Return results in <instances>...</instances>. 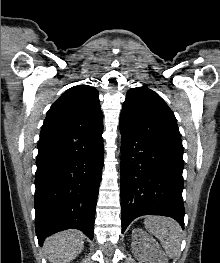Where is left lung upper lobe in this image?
<instances>
[{
  "label": "left lung upper lobe",
  "instance_id": "1",
  "mask_svg": "<svg viewBox=\"0 0 220 263\" xmlns=\"http://www.w3.org/2000/svg\"><path fill=\"white\" fill-rule=\"evenodd\" d=\"M120 126L183 154L174 113L159 95L147 87L131 88L127 92Z\"/></svg>",
  "mask_w": 220,
  "mask_h": 263
}]
</instances>
